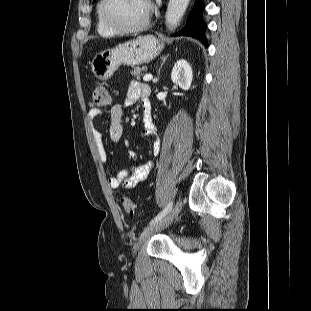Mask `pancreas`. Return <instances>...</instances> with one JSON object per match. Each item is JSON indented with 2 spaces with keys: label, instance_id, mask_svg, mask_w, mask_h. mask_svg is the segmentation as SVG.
<instances>
[{
  "label": "pancreas",
  "instance_id": "obj_1",
  "mask_svg": "<svg viewBox=\"0 0 311 311\" xmlns=\"http://www.w3.org/2000/svg\"><path fill=\"white\" fill-rule=\"evenodd\" d=\"M144 71H146V67H142V68H140V67H135V68L133 69V71H131V75L136 76L137 79H139L140 76L142 75V72H144Z\"/></svg>",
  "mask_w": 311,
  "mask_h": 311
}]
</instances>
